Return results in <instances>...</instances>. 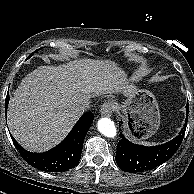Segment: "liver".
<instances>
[{
	"mask_svg": "<svg viewBox=\"0 0 194 194\" xmlns=\"http://www.w3.org/2000/svg\"><path fill=\"white\" fill-rule=\"evenodd\" d=\"M135 90L113 61L83 58L40 66L22 79L11 97L8 126L27 150L46 151L69 133L82 114V101L104 94L130 96Z\"/></svg>",
	"mask_w": 194,
	"mask_h": 194,
	"instance_id": "obj_1",
	"label": "liver"
}]
</instances>
